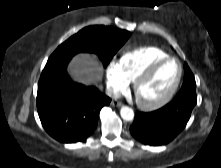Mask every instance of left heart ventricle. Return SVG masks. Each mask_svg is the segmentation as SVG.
<instances>
[{"instance_id": "left-heart-ventricle-1", "label": "left heart ventricle", "mask_w": 221, "mask_h": 168, "mask_svg": "<svg viewBox=\"0 0 221 168\" xmlns=\"http://www.w3.org/2000/svg\"><path fill=\"white\" fill-rule=\"evenodd\" d=\"M178 75V64L169 61L160 66L137 91V97L145 102L161 98L174 84Z\"/></svg>"}]
</instances>
